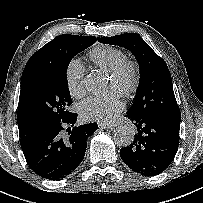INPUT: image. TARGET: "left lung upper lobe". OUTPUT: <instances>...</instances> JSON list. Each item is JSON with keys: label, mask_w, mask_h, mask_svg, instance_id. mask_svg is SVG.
Instances as JSON below:
<instances>
[{"label": "left lung upper lobe", "mask_w": 203, "mask_h": 203, "mask_svg": "<svg viewBox=\"0 0 203 203\" xmlns=\"http://www.w3.org/2000/svg\"><path fill=\"white\" fill-rule=\"evenodd\" d=\"M98 41L128 49L139 64V88L135 101L126 115L153 119L181 118L166 63L138 34L125 33L101 37Z\"/></svg>", "instance_id": "left-lung-upper-lobe-1"}]
</instances>
